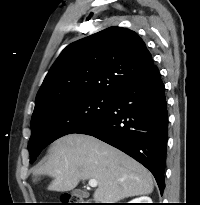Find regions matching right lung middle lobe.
Listing matches in <instances>:
<instances>
[{"mask_svg": "<svg viewBox=\"0 0 200 205\" xmlns=\"http://www.w3.org/2000/svg\"><path fill=\"white\" fill-rule=\"evenodd\" d=\"M113 97L86 95L52 104L32 116L30 163L54 140L93 124L109 110Z\"/></svg>", "mask_w": 200, "mask_h": 205, "instance_id": "obj_1", "label": "right lung middle lobe"}]
</instances>
